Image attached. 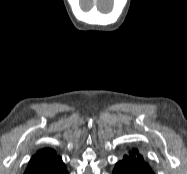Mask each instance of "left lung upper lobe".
<instances>
[{"label": "left lung upper lobe", "instance_id": "1", "mask_svg": "<svg viewBox=\"0 0 187 174\" xmlns=\"http://www.w3.org/2000/svg\"><path fill=\"white\" fill-rule=\"evenodd\" d=\"M119 163L129 168H150L137 149L130 151L128 155L124 156L122 161H119Z\"/></svg>", "mask_w": 187, "mask_h": 174}]
</instances>
